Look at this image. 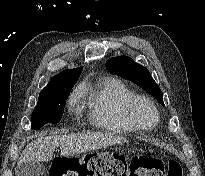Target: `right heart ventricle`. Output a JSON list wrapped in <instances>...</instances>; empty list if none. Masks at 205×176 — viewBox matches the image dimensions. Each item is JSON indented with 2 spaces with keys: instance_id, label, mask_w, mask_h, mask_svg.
<instances>
[{
  "instance_id": "right-heart-ventricle-1",
  "label": "right heart ventricle",
  "mask_w": 205,
  "mask_h": 176,
  "mask_svg": "<svg viewBox=\"0 0 205 176\" xmlns=\"http://www.w3.org/2000/svg\"><path fill=\"white\" fill-rule=\"evenodd\" d=\"M134 92L120 79L104 77L96 81L89 96V114L95 125L112 134L136 130L127 119L125 106Z\"/></svg>"
}]
</instances>
